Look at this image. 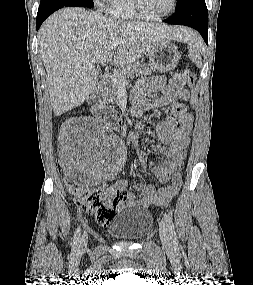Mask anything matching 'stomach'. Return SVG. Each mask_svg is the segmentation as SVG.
Instances as JSON below:
<instances>
[{"label":"stomach","mask_w":253,"mask_h":285,"mask_svg":"<svg viewBox=\"0 0 253 285\" xmlns=\"http://www.w3.org/2000/svg\"><path fill=\"white\" fill-rule=\"evenodd\" d=\"M148 56L151 70L160 73L175 69L181 59L177 46L170 41L155 45L148 52Z\"/></svg>","instance_id":"0dacf381"}]
</instances>
